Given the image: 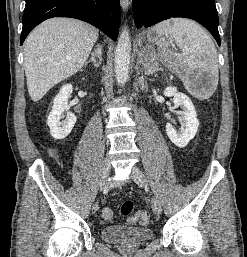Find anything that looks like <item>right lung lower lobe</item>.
<instances>
[{
    "instance_id": "right-lung-lower-lobe-1",
    "label": "right lung lower lobe",
    "mask_w": 247,
    "mask_h": 257,
    "mask_svg": "<svg viewBox=\"0 0 247 257\" xmlns=\"http://www.w3.org/2000/svg\"><path fill=\"white\" fill-rule=\"evenodd\" d=\"M52 17H72L83 20L116 40L121 20L120 1L26 0L20 44H23L35 26Z\"/></svg>"
}]
</instances>
